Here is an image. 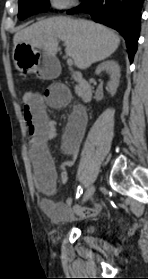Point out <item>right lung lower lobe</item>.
Listing matches in <instances>:
<instances>
[{"instance_id": "1", "label": "right lung lower lobe", "mask_w": 148, "mask_h": 279, "mask_svg": "<svg viewBox=\"0 0 148 279\" xmlns=\"http://www.w3.org/2000/svg\"><path fill=\"white\" fill-rule=\"evenodd\" d=\"M143 2L144 0H84L80 6L67 13H88L94 21L119 31L127 42L129 59L132 62L137 51Z\"/></svg>"}]
</instances>
